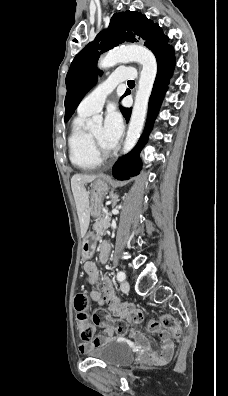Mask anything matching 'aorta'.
I'll return each instance as SVG.
<instances>
[{
	"label": "aorta",
	"instance_id": "762f6f07",
	"mask_svg": "<svg viewBox=\"0 0 228 396\" xmlns=\"http://www.w3.org/2000/svg\"><path fill=\"white\" fill-rule=\"evenodd\" d=\"M129 61L140 63L142 65V71L140 73L138 89L127 130V136L123 146V154H126L132 150L142 132L148 109L149 98L157 75L156 58L147 48L131 45L109 51L99 61V67L102 69L111 68L118 63ZM101 123L102 118L100 116H94L92 119L88 120L87 126L93 128L94 126L100 125Z\"/></svg>",
	"mask_w": 228,
	"mask_h": 396
}]
</instances>
